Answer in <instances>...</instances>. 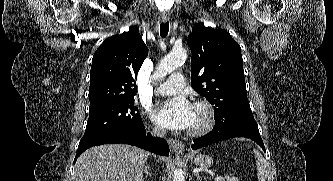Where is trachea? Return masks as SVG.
Segmentation results:
<instances>
[{
  "label": "trachea",
  "mask_w": 333,
  "mask_h": 181,
  "mask_svg": "<svg viewBox=\"0 0 333 181\" xmlns=\"http://www.w3.org/2000/svg\"><path fill=\"white\" fill-rule=\"evenodd\" d=\"M168 31H169V23L166 22V23H162L160 25V35L162 38L166 37L167 34H168Z\"/></svg>",
  "instance_id": "trachea-1"
}]
</instances>
